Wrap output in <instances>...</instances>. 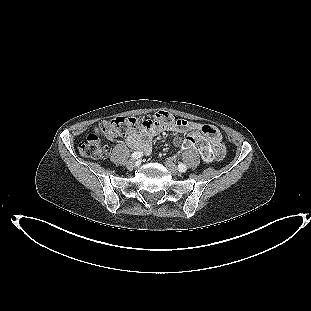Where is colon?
Returning <instances> with one entry per match:
<instances>
[{
    "mask_svg": "<svg viewBox=\"0 0 311 311\" xmlns=\"http://www.w3.org/2000/svg\"><path fill=\"white\" fill-rule=\"evenodd\" d=\"M173 124L179 127H187L188 121L178 118L168 112L159 111L154 119L145 117L120 116L110 120L101 121L94 133L89 134L85 141L79 146L80 153L88 158H102L107 153V147L101 142L100 136L114 138L126 136L138 127H149L153 125ZM186 142L199 149L202 157L210 161L214 158L208 142L197 134L189 136ZM224 154V151H223ZM222 154V156H223Z\"/></svg>",
    "mask_w": 311,
    "mask_h": 311,
    "instance_id": "1",
    "label": "colon"
}]
</instances>
